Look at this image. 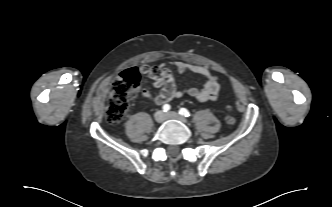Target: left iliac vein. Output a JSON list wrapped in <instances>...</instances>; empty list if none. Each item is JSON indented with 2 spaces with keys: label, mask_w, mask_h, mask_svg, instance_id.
<instances>
[{
  "label": "left iliac vein",
  "mask_w": 332,
  "mask_h": 207,
  "mask_svg": "<svg viewBox=\"0 0 332 207\" xmlns=\"http://www.w3.org/2000/svg\"><path fill=\"white\" fill-rule=\"evenodd\" d=\"M166 117L168 119L178 120L182 123H187V120L177 112L170 111V112L166 113Z\"/></svg>",
  "instance_id": "left-iliac-vein-1"
}]
</instances>
